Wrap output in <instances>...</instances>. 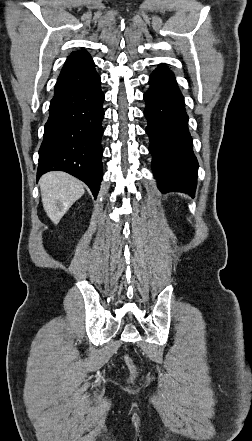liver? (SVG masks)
Here are the masks:
<instances>
[{
	"mask_svg": "<svg viewBox=\"0 0 252 441\" xmlns=\"http://www.w3.org/2000/svg\"><path fill=\"white\" fill-rule=\"evenodd\" d=\"M39 186L44 210L54 224L85 192L80 180L61 171L44 174Z\"/></svg>",
	"mask_w": 252,
	"mask_h": 441,
	"instance_id": "liver-1",
	"label": "liver"
}]
</instances>
